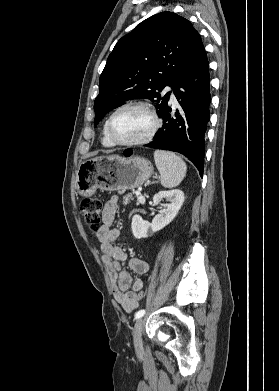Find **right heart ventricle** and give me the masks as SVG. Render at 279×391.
Listing matches in <instances>:
<instances>
[{
    "mask_svg": "<svg viewBox=\"0 0 279 391\" xmlns=\"http://www.w3.org/2000/svg\"><path fill=\"white\" fill-rule=\"evenodd\" d=\"M107 122V121H106ZM106 122L104 123L103 126V133H102V145L106 148H112L115 145L111 143V141L108 139L107 134H106Z\"/></svg>",
    "mask_w": 279,
    "mask_h": 391,
    "instance_id": "obj_1",
    "label": "right heart ventricle"
}]
</instances>
